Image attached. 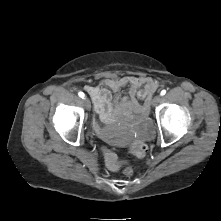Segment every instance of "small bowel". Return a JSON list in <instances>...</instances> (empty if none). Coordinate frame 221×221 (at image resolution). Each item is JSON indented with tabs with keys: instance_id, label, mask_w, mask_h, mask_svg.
<instances>
[{
	"instance_id": "small-bowel-1",
	"label": "small bowel",
	"mask_w": 221,
	"mask_h": 221,
	"mask_svg": "<svg viewBox=\"0 0 221 221\" xmlns=\"http://www.w3.org/2000/svg\"><path fill=\"white\" fill-rule=\"evenodd\" d=\"M129 88V97L119 95L122 88ZM158 84L150 77L123 76L105 78L100 86H87L86 92L92 98L94 109L102 121H107L116 115L130 119L132 114L146 116L147 106L141 105L137 99L147 100L157 89ZM113 93L116 95L113 96Z\"/></svg>"
}]
</instances>
